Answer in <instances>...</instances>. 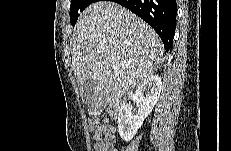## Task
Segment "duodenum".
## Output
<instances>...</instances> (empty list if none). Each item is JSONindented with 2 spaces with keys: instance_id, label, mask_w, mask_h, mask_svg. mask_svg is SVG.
<instances>
[{
  "instance_id": "duodenum-1",
  "label": "duodenum",
  "mask_w": 231,
  "mask_h": 151,
  "mask_svg": "<svg viewBox=\"0 0 231 151\" xmlns=\"http://www.w3.org/2000/svg\"><path fill=\"white\" fill-rule=\"evenodd\" d=\"M106 101L109 103V106L111 107V109H119L122 103L119 96L107 97Z\"/></svg>"
}]
</instances>
